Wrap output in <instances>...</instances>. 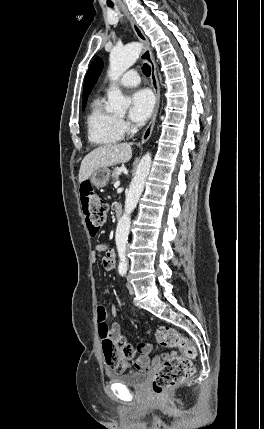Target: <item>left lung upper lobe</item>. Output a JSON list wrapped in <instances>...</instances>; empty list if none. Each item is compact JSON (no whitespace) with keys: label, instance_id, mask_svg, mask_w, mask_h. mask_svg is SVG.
Segmentation results:
<instances>
[{"label":"left lung upper lobe","instance_id":"left-lung-upper-lobe-1","mask_svg":"<svg viewBox=\"0 0 264 429\" xmlns=\"http://www.w3.org/2000/svg\"><path fill=\"white\" fill-rule=\"evenodd\" d=\"M103 68V63L102 61L97 57L94 59V61L92 62V64L89 67V70L87 72L86 78H85V82H84V89H83V108L86 105L87 102V98L93 88V86L95 85L100 72Z\"/></svg>","mask_w":264,"mask_h":429}]
</instances>
